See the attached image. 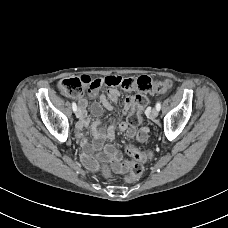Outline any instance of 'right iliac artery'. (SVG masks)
I'll list each match as a JSON object with an SVG mask.
<instances>
[{"mask_svg":"<svg viewBox=\"0 0 228 228\" xmlns=\"http://www.w3.org/2000/svg\"><path fill=\"white\" fill-rule=\"evenodd\" d=\"M72 109H73L74 112L77 110V106H76L75 102L72 103Z\"/></svg>","mask_w":228,"mask_h":228,"instance_id":"right-iliac-artery-1","label":"right iliac artery"}]
</instances>
